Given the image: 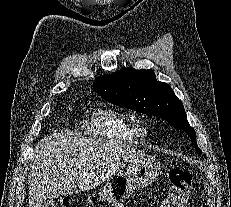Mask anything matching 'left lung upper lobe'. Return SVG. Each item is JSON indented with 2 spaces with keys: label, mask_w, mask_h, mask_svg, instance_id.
Returning a JSON list of instances; mask_svg holds the SVG:
<instances>
[{
  "label": "left lung upper lobe",
  "mask_w": 231,
  "mask_h": 207,
  "mask_svg": "<svg viewBox=\"0 0 231 207\" xmlns=\"http://www.w3.org/2000/svg\"><path fill=\"white\" fill-rule=\"evenodd\" d=\"M93 88L113 104L155 115L175 128L185 131L196 151L201 153L196 142V132L187 121L182 102L168 84L156 80L153 70L124 67L115 73L98 77Z\"/></svg>",
  "instance_id": "left-lung-upper-lobe-1"
}]
</instances>
